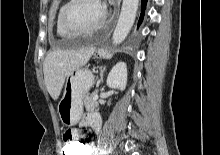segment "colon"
Here are the masks:
<instances>
[{
    "label": "colon",
    "instance_id": "obj_1",
    "mask_svg": "<svg viewBox=\"0 0 220 155\" xmlns=\"http://www.w3.org/2000/svg\"><path fill=\"white\" fill-rule=\"evenodd\" d=\"M64 136V135H63ZM88 142L85 139H76L75 141H66L61 146L62 155H85Z\"/></svg>",
    "mask_w": 220,
    "mask_h": 155
}]
</instances>
